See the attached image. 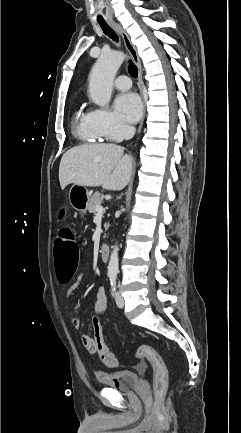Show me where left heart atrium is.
I'll return each instance as SVG.
<instances>
[{"mask_svg":"<svg viewBox=\"0 0 241 433\" xmlns=\"http://www.w3.org/2000/svg\"><path fill=\"white\" fill-rule=\"evenodd\" d=\"M116 114L127 123H135L142 114L141 99L135 93L128 92L118 95L114 101Z\"/></svg>","mask_w":241,"mask_h":433,"instance_id":"39dd6f15","label":"left heart atrium"}]
</instances>
